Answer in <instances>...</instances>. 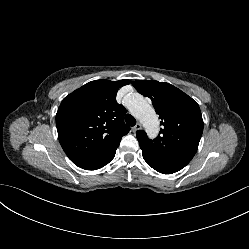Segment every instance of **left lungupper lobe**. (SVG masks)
Masks as SVG:
<instances>
[{
	"label": "left lung upper lobe",
	"mask_w": 249,
	"mask_h": 249,
	"mask_svg": "<svg viewBox=\"0 0 249 249\" xmlns=\"http://www.w3.org/2000/svg\"><path fill=\"white\" fill-rule=\"evenodd\" d=\"M132 85L152 100L163 126L154 140L144 131L136 132L143 157L185 167L194 157L203 132L198 104L166 82L137 80Z\"/></svg>",
	"instance_id": "left-lung-upper-lobe-1"
}]
</instances>
